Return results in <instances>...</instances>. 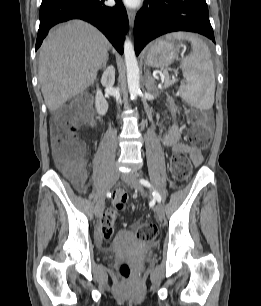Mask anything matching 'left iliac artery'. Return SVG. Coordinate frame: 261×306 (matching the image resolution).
Returning <instances> with one entry per match:
<instances>
[{"label": "left iliac artery", "instance_id": "obj_1", "mask_svg": "<svg viewBox=\"0 0 261 306\" xmlns=\"http://www.w3.org/2000/svg\"><path fill=\"white\" fill-rule=\"evenodd\" d=\"M139 182L145 187L152 188L151 183L147 179L141 178ZM153 196L158 202H161V195L156 190H153Z\"/></svg>", "mask_w": 261, "mask_h": 306}]
</instances>
